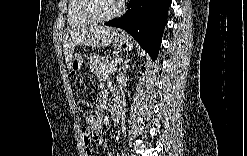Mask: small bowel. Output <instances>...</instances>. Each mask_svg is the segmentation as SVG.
<instances>
[{"mask_svg":"<svg viewBox=\"0 0 247 156\" xmlns=\"http://www.w3.org/2000/svg\"><path fill=\"white\" fill-rule=\"evenodd\" d=\"M80 67H81V66H80L79 64L75 65L74 68H73L72 74H73V75H76L77 72L79 71ZM105 99H106V94H104V93L101 94L100 99H99V110H100V111H101L102 108H103V103H104ZM95 140H96L97 142H101V138H100L99 136H96V137H95ZM84 142H85V145H86V147H85V154H86V155H92V150H91V148H90V146H89V143H90V136H87V135L85 134V132H84Z\"/></svg>","mask_w":247,"mask_h":156,"instance_id":"1","label":"small bowel"}]
</instances>
